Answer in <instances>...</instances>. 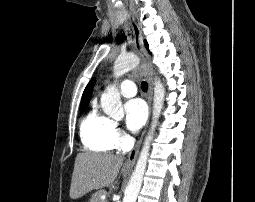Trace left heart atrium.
Listing matches in <instances>:
<instances>
[{"label":"left heart atrium","instance_id":"left-heart-atrium-1","mask_svg":"<svg viewBox=\"0 0 255 202\" xmlns=\"http://www.w3.org/2000/svg\"><path fill=\"white\" fill-rule=\"evenodd\" d=\"M126 125L131 131H138L146 122L147 107L141 99H132L125 104Z\"/></svg>","mask_w":255,"mask_h":202}]
</instances>
